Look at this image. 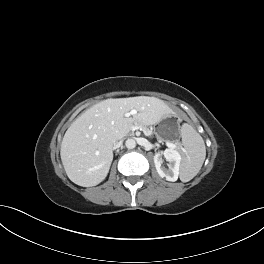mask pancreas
I'll use <instances>...</instances> for the list:
<instances>
[{
    "mask_svg": "<svg viewBox=\"0 0 264 264\" xmlns=\"http://www.w3.org/2000/svg\"><path fill=\"white\" fill-rule=\"evenodd\" d=\"M139 126L148 134V135H151L152 134V131L150 129H148L146 126L142 125V124H139ZM177 148H180V145L177 144Z\"/></svg>",
    "mask_w": 264,
    "mask_h": 264,
    "instance_id": "cf45deb5",
    "label": "pancreas"
}]
</instances>
